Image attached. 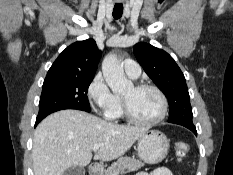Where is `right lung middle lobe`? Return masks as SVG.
<instances>
[{"mask_svg":"<svg viewBox=\"0 0 233 175\" xmlns=\"http://www.w3.org/2000/svg\"><path fill=\"white\" fill-rule=\"evenodd\" d=\"M94 76L45 79L37 118L64 109L90 112L87 91Z\"/></svg>","mask_w":233,"mask_h":175,"instance_id":"right-lung-middle-lobe-1","label":"right lung middle lobe"}]
</instances>
